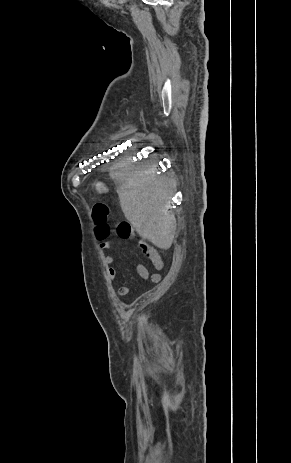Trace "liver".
Returning a JSON list of instances; mask_svg holds the SVG:
<instances>
[{"mask_svg": "<svg viewBox=\"0 0 291 463\" xmlns=\"http://www.w3.org/2000/svg\"><path fill=\"white\" fill-rule=\"evenodd\" d=\"M110 177L120 184V206L136 232L155 246L169 249L176 230L175 216L169 211L172 182L158 175L156 166L137 167L131 159L112 167Z\"/></svg>", "mask_w": 291, "mask_h": 463, "instance_id": "1", "label": "liver"}]
</instances>
